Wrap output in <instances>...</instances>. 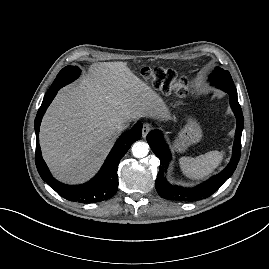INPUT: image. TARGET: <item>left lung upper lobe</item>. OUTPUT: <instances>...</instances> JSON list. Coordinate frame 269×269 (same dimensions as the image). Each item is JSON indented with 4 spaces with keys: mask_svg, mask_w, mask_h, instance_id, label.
Segmentation results:
<instances>
[{
    "mask_svg": "<svg viewBox=\"0 0 269 269\" xmlns=\"http://www.w3.org/2000/svg\"><path fill=\"white\" fill-rule=\"evenodd\" d=\"M210 80L213 84L223 90H227L229 88L232 89L233 92L237 93L231 75L228 71H224L223 69L217 67L210 76Z\"/></svg>",
    "mask_w": 269,
    "mask_h": 269,
    "instance_id": "1",
    "label": "left lung upper lobe"
}]
</instances>
